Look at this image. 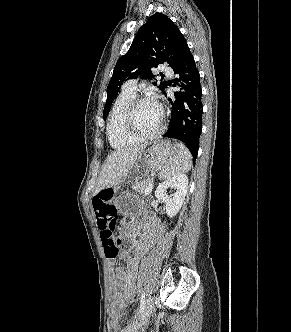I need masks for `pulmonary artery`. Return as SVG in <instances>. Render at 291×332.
<instances>
[{
  "instance_id": "pulmonary-artery-1",
  "label": "pulmonary artery",
  "mask_w": 291,
  "mask_h": 332,
  "mask_svg": "<svg viewBox=\"0 0 291 332\" xmlns=\"http://www.w3.org/2000/svg\"><path fill=\"white\" fill-rule=\"evenodd\" d=\"M162 71L167 75H172V73H173L171 68H169L167 66H163ZM123 90L129 91L132 93H136L137 81L135 79H130V80L126 81L123 85Z\"/></svg>"
}]
</instances>
